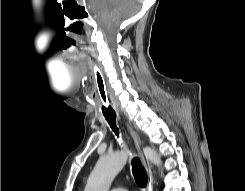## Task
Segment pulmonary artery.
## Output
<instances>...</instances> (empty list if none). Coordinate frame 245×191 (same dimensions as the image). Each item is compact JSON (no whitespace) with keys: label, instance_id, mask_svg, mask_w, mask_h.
Here are the masks:
<instances>
[{"label":"pulmonary artery","instance_id":"obj_1","mask_svg":"<svg viewBox=\"0 0 245 191\" xmlns=\"http://www.w3.org/2000/svg\"><path fill=\"white\" fill-rule=\"evenodd\" d=\"M111 191H128V190L124 188H113Z\"/></svg>","mask_w":245,"mask_h":191}]
</instances>
